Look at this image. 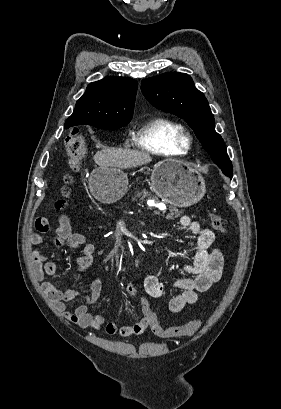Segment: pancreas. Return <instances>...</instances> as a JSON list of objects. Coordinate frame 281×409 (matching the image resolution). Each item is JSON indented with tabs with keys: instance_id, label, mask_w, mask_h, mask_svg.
I'll return each instance as SVG.
<instances>
[{
	"instance_id": "cf45deb5",
	"label": "pancreas",
	"mask_w": 281,
	"mask_h": 409,
	"mask_svg": "<svg viewBox=\"0 0 281 409\" xmlns=\"http://www.w3.org/2000/svg\"><path fill=\"white\" fill-rule=\"evenodd\" d=\"M137 198H139V200H144V198H152V200H157V198L152 196V194H150L148 190H145V188H143V190H136L134 200H137ZM169 211L170 213H167L165 219H178V217H180V211H178L176 207H169Z\"/></svg>"
}]
</instances>
